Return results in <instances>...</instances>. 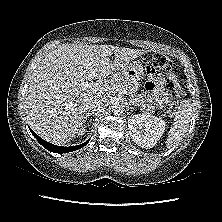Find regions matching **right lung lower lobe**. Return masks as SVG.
I'll use <instances>...</instances> for the list:
<instances>
[{"label": "right lung lower lobe", "mask_w": 222, "mask_h": 222, "mask_svg": "<svg viewBox=\"0 0 222 222\" xmlns=\"http://www.w3.org/2000/svg\"><path fill=\"white\" fill-rule=\"evenodd\" d=\"M31 133L34 135V137L37 139V141L43 146L45 147L47 150L51 151V152H55V153H68V152H72L75 150H78L82 147H84L89 140H87L85 143L77 145V146H72V147H62V146H57L54 144H51L45 140H43L42 138H40L33 130H31Z\"/></svg>", "instance_id": "1"}]
</instances>
